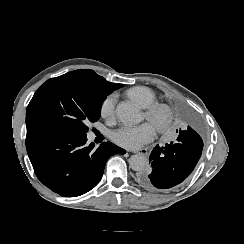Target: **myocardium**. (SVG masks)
<instances>
[{"label": "myocardium", "mask_w": 244, "mask_h": 244, "mask_svg": "<svg viewBox=\"0 0 244 244\" xmlns=\"http://www.w3.org/2000/svg\"><path fill=\"white\" fill-rule=\"evenodd\" d=\"M145 118L159 131H165L171 124L169 116L165 113L162 106L159 105H152L145 108Z\"/></svg>", "instance_id": "obj_1"}]
</instances>
